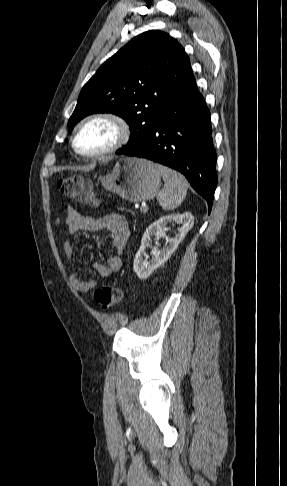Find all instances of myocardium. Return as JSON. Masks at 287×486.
I'll use <instances>...</instances> for the list:
<instances>
[{"label": "myocardium", "instance_id": "f54148a6", "mask_svg": "<svg viewBox=\"0 0 287 486\" xmlns=\"http://www.w3.org/2000/svg\"><path fill=\"white\" fill-rule=\"evenodd\" d=\"M96 121H104L110 123L116 131L115 140L111 145L102 150L95 152H83L77 146V137L86 126ZM130 135V126L122 116L107 111L96 112L86 116L77 124L72 137V148L75 153L82 157L99 158L111 154L123 147L129 141Z\"/></svg>", "mask_w": 287, "mask_h": 486}]
</instances>
